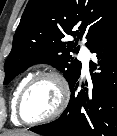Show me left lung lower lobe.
<instances>
[{"instance_id":"0a47b994","label":"left lung lower lobe","mask_w":117,"mask_h":136,"mask_svg":"<svg viewBox=\"0 0 117 136\" xmlns=\"http://www.w3.org/2000/svg\"><path fill=\"white\" fill-rule=\"evenodd\" d=\"M90 52L98 60L89 65L93 88L77 92L78 77L69 85L71 98L62 115L31 131L45 136H117V21Z\"/></svg>"}]
</instances>
